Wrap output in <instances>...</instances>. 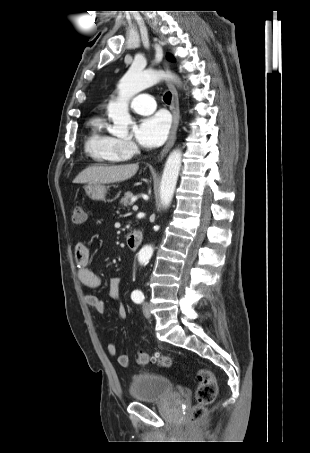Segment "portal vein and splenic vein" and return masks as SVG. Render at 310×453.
I'll return each mask as SVG.
<instances>
[{"mask_svg": "<svg viewBox=\"0 0 310 453\" xmlns=\"http://www.w3.org/2000/svg\"><path fill=\"white\" fill-rule=\"evenodd\" d=\"M132 209H133L134 211H137V210H138V206L134 205Z\"/></svg>", "mask_w": 310, "mask_h": 453, "instance_id": "1", "label": "portal vein and splenic vein"}]
</instances>
